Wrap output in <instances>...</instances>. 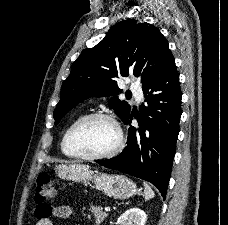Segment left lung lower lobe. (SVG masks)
<instances>
[{
    "label": "left lung lower lobe",
    "mask_w": 228,
    "mask_h": 225,
    "mask_svg": "<svg viewBox=\"0 0 228 225\" xmlns=\"http://www.w3.org/2000/svg\"><path fill=\"white\" fill-rule=\"evenodd\" d=\"M142 90L146 99L140 106L141 117L132 112L124 121L128 125L135 116L139 128H129L127 146L120 155L95 162L152 183L165 199L181 117L182 94L173 55Z\"/></svg>",
    "instance_id": "1"
}]
</instances>
